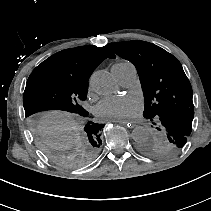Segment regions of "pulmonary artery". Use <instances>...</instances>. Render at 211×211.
Masks as SVG:
<instances>
[{"label": "pulmonary artery", "instance_id": "e3ab8cb5", "mask_svg": "<svg viewBox=\"0 0 211 211\" xmlns=\"http://www.w3.org/2000/svg\"><path fill=\"white\" fill-rule=\"evenodd\" d=\"M112 72L124 86L132 85L137 79V70L134 65L123 66L117 63L113 65Z\"/></svg>", "mask_w": 211, "mask_h": 211}]
</instances>
